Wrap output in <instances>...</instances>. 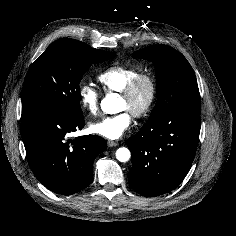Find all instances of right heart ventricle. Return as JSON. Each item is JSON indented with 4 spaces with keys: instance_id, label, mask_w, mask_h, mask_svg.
Wrapping results in <instances>:
<instances>
[{
    "instance_id": "e07e8e85",
    "label": "right heart ventricle",
    "mask_w": 236,
    "mask_h": 236,
    "mask_svg": "<svg viewBox=\"0 0 236 236\" xmlns=\"http://www.w3.org/2000/svg\"><path fill=\"white\" fill-rule=\"evenodd\" d=\"M137 73H139L138 67L120 64L105 69L98 74L97 79L105 92L119 93Z\"/></svg>"
}]
</instances>
